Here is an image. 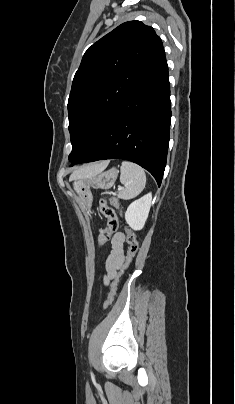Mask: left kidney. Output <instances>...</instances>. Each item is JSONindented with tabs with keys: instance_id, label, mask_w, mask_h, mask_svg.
<instances>
[{
	"instance_id": "1",
	"label": "left kidney",
	"mask_w": 235,
	"mask_h": 404,
	"mask_svg": "<svg viewBox=\"0 0 235 404\" xmlns=\"http://www.w3.org/2000/svg\"><path fill=\"white\" fill-rule=\"evenodd\" d=\"M152 201V194L148 193L132 202L125 212V220L133 230H141L147 220Z\"/></svg>"
}]
</instances>
